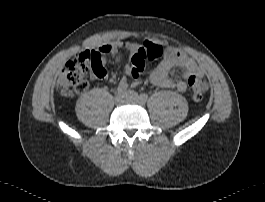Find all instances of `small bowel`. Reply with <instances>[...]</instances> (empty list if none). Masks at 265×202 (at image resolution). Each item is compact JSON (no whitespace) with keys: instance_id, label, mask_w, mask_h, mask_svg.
Listing matches in <instances>:
<instances>
[{"instance_id":"1","label":"small bowel","mask_w":265,"mask_h":202,"mask_svg":"<svg viewBox=\"0 0 265 202\" xmlns=\"http://www.w3.org/2000/svg\"><path fill=\"white\" fill-rule=\"evenodd\" d=\"M150 44L144 43L139 44L136 42L129 41H120L115 44L105 45L100 47V62L104 67V64L108 60L109 57L113 56L117 50L122 49L128 51L130 53L137 52L141 47ZM174 68L182 69V77L176 81H171L169 79V74ZM132 73V65L131 63L127 64L125 67V74L131 75ZM106 77V72L104 74L99 75L97 73H93L94 79H101ZM193 77H204V71L202 68L198 66V64L188 55L174 48H169L167 57L161 61L151 72L150 81L151 83L160 88H171L175 87L180 92H186L188 88V83ZM120 83H126V78H123ZM137 81H135L132 86L137 85Z\"/></svg>"}]
</instances>
